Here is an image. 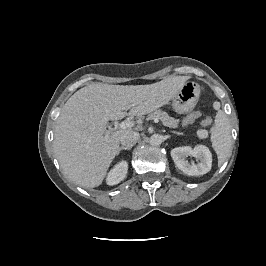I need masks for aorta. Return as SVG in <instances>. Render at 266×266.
I'll use <instances>...</instances> for the list:
<instances>
[{"mask_svg":"<svg viewBox=\"0 0 266 266\" xmlns=\"http://www.w3.org/2000/svg\"><path fill=\"white\" fill-rule=\"evenodd\" d=\"M163 141V138L161 135L159 134H153L150 138H149V143L152 145V146H158L162 143Z\"/></svg>","mask_w":266,"mask_h":266,"instance_id":"obj_1","label":"aorta"}]
</instances>
